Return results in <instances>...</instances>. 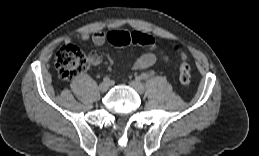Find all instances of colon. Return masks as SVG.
I'll list each match as a JSON object with an SVG mask.
<instances>
[{
	"mask_svg": "<svg viewBox=\"0 0 259 156\" xmlns=\"http://www.w3.org/2000/svg\"><path fill=\"white\" fill-rule=\"evenodd\" d=\"M107 39L118 47L130 44L149 46L154 42L150 35L140 31H111L108 33ZM175 49L180 51L178 45H175ZM180 57L179 80L183 86H188L191 82L190 65L184 52L180 51ZM55 65L62 80H71L87 69L88 59L77 46L66 44L57 51Z\"/></svg>",
	"mask_w": 259,
	"mask_h": 156,
	"instance_id": "1",
	"label": "colon"
}]
</instances>
